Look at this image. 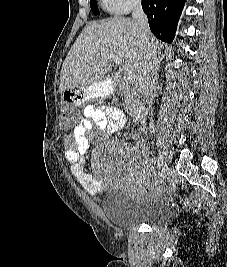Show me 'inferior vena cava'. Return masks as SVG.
I'll return each mask as SVG.
<instances>
[{
	"label": "inferior vena cava",
	"mask_w": 227,
	"mask_h": 267,
	"mask_svg": "<svg viewBox=\"0 0 227 267\" xmlns=\"http://www.w3.org/2000/svg\"><path fill=\"white\" fill-rule=\"evenodd\" d=\"M132 18L135 29L145 46V60L138 78V85L145 102L151 108L156 93L158 59L155 49L149 42L151 32L140 0H135L133 3Z\"/></svg>",
	"instance_id": "obj_1"
}]
</instances>
